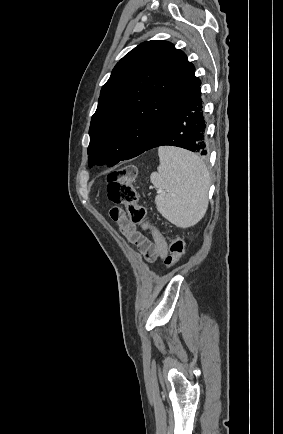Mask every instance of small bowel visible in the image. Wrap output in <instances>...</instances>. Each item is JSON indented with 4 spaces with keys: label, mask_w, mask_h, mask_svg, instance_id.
<instances>
[{
    "label": "small bowel",
    "mask_w": 283,
    "mask_h": 434,
    "mask_svg": "<svg viewBox=\"0 0 283 434\" xmlns=\"http://www.w3.org/2000/svg\"><path fill=\"white\" fill-rule=\"evenodd\" d=\"M110 216L127 241L135 245L148 262L153 263L158 259L167 258V242L158 230L152 229V239H150L143 232L137 230L136 225L130 221L123 209L112 208Z\"/></svg>",
    "instance_id": "obj_1"
}]
</instances>
